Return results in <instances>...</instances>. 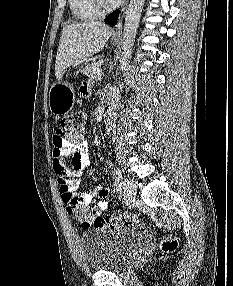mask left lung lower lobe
<instances>
[{"mask_svg": "<svg viewBox=\"0 0 233 286\" xmlns=\"http://www.w3.org/2000/svg\"><path fill=\"white\" fill-rule=\"evenodd\" d=\"M119 13L120 11L117 10L113 13H111L109 16H107L105 19H104V22L113 26L117 23V20H118V17H119Z\"/></svg>", "mask_w": 233, "mask_h": 286, "instance_id": "left-lung-lower-lobe-1", "label": "left lung lower lobe"}]
</instances>
